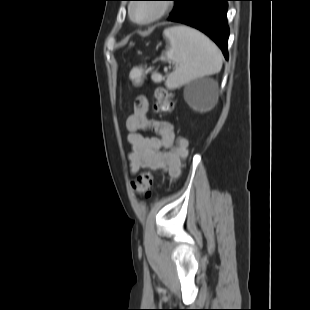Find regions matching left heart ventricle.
Returning <instances> with one entry per match:
<instances>
[{
  "mask_svg": "<svg viewBox=\"0 0 310 310\" xmlns=\"http://www.w3.org/2000/svg\"><path fill=\"white\" fill-rule=\"evenodd\" d=\"M156 7L153 3L139 4L134 9V15L137 19H145L155 13Z\"/></svg>",
  "mask_w": 310,
  "mask_h": 310,
  "instance_id": "1",
  "label": "left heart ventricle"
}]
</instances>
